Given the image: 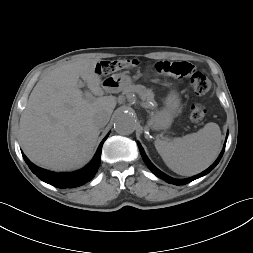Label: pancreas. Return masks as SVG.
Wrapping results in <instances>:
<instances>
[{
  "label": "pancreas",
  "instance_id": "1",
  "mask_svg": "<svg viewBox=\"0 0 253 253\" xmlns=\"http://www.w3.org/2000/svg\"><path fill=\"white\" fill-rule=\"evenodd\" d=\"M132 93L138 94L139 98L142 100L141 105L144 108L154 109L156 107L152 90L146 89L143 85H129L123 90L124 95H130ZM150 103H153L154 105H151Z\"/></svg>",
  "mask_w": 253,
  "mask_h": 253
}]
</instances>
